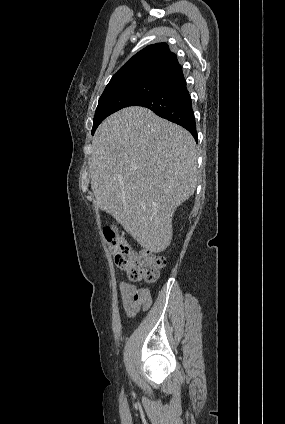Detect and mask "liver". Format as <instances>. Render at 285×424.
Segmentation results:
<instances>
[{
    "label": "liver",
    "mask_w": 285,
    "mask_h": 424,
    "mask_svg": "<svg viewBox=\"0 0 285 424\" xmlns=\"http://www.w3.org/2000/svg\"><path fill=\"white\" fill-rule=\"evenodd\" d=\"M197 148L181 126L144 107L107 117L92 139L91 189L142 247L164 251L172 240L176 208L197 186Z\"/></svg>",
    "instance_id": "1"
}]
</instances>
